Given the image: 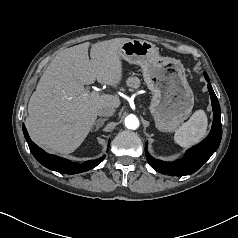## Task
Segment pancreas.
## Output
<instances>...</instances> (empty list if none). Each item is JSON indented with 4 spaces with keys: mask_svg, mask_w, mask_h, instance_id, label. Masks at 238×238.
Listing matches in <instances>:
<instances>
[{
    "mask_svg": "<svg viewBox=\"0 0 238 238\" xmlns=\"http://www.w3.org/2000/svg\"><path fill=\"white\" fill-rule=\"evenodd\" d=\"M126 84L130 88L137 89L140 87V80L137 77H129L126 80Z\"/></svg>",
    "mask_w": 238,
    "mask_h": 238,
    "instance_id": "pancreas-1",
    "label": "pancreas"
}]
</instances>
